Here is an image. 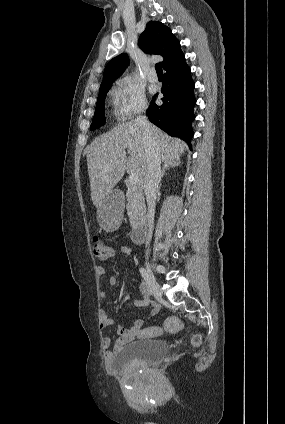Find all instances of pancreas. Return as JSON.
Masks as SVG:
<instances>
[{
    "instance_id": "obj_1",
    "label": "pancreas",
    "mask_w": 285,
    "mask_h": 424,
    "mask_svg": "<svg viewBox=\"0 0 285 424\" xmlns=\"http://www.w3.org/2000/svg\"><path fill=\"white\" fill-rule=\"evenodd\" d=\"M126 198V209L130 217V224L132 228H135L140 224L146 212L143 193L138 187L128 186Z\"/></svg>"
}]
</instances>
